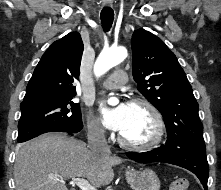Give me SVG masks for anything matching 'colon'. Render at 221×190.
I'll return each mask as SVG.
<instances>
[{"label": "colon", "instance_id": "obj_1", "mask_svg": "<svg viewBox=\"0 0 221 190\" xmlns=\"http://www.w3.org/2000/svg\"><path fill=\"white\" fill-rule=\"evenodd\" d=\"M188 185H189V183H188L187 179L179 178V179H176L175 181L172 182L169 190H187Z\"/></svg>", "mask_w": 221, "mask_h": 190}]
</instances>
